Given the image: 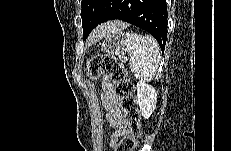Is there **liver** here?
<instances>
[{"label": "liver", "mask_w": 231, "mask_h": 151, "mask_svg": "<svg viewBox=\"0 0 231 151\" xmlns=\"http://www.w3.org/2000/svg\"><path fill=\"white\" fill-rule=\"evenodd\" d=\"M126 24L121 21H110L97 27L89 38V43H94L111 32H120Z\"/></svg>", "instance_id": "obj_1"}]
</instances>
